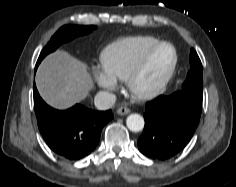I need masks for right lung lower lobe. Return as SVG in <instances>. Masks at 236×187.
Here are the masks:
<instances>
[{"mask_svg": "<svg viewBox=\"0 0 236 187\" xmlns=\"http://www.w3.org/2000/svg\"><path fill=\"white\" fill-rule=\"evenodd\" d=\"M33 95L43 138L56 154L67 160H80L91 154L99 143L102 128L113 118L111 110L95 111L79 104L68 110L53 109L42 100L35 83Z\"/></svg>", "mask_w": 236, "mask_h": 187, "instance_id": "right-lung-lower-lobe-1", "label": "right lung lower lobe"}]
</instances>
